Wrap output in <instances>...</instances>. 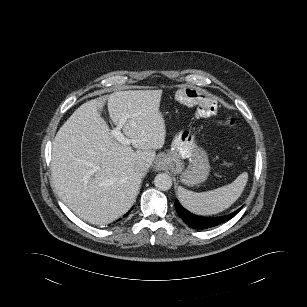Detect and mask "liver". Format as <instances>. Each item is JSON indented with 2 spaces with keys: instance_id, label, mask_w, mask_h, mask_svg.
Instances as JSON below:
<instances>
[{
  "instance_id": "1",
  "label": "liver",
  "mask_w": 307,
  "mask_h": 307,
  "mask_svg": "<svg viewBox=\"0 0 307 307\" xmlns=\"http://www.w3.org/2000/svg\"><path fill=\"white\" fill-rule=\"evenodd\" d=\"M162 93L117 91L90 100L57 132L52 143L53 183L61 200L81 219L107 224L133 206L144 175L136 165L144 162L148 169L155 150L165 143V120L159 110ZM106 100L112 122L122 124L129 145L111 135L101 116Z\"/></svg>"
}]
</instances>
